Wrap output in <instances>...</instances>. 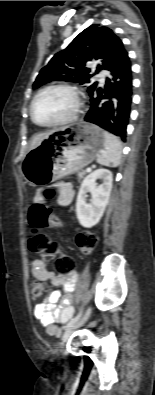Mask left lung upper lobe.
<instances>
[{"label": "left lung upper lobe", "mask_w": 155, "mask_h": 395, "mask_svg": "<svg viewBox=\"0 0 155 395\" xmlns=\"http://www.w3.org/2000/svg\"><path fill=\"white\" fill-rule=\"evenodd\" d=\"M128 55L120 38L109 28L94 24L83 30L66 49L55 54L47 66L42 68L33 88L52 80L74 81L89 84L91 95L97 87L92 83L91 69L86 66L88 61L97 63L98 73L104 69L109 71Z\"/></svg>", "instance_id": "5c2ea615"}]
</instances>
